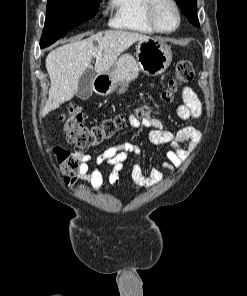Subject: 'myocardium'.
<instances>
[{
  "instance_id": "1",
  "label": "myocardium",
  "mask_w": 247,
  "mask_h": 296,
  "mask_svg": "<svg viewBox=\"0 0 247 296\" xmlns=\"http://www.w3.org/2000/svg\"><path fill=\"white\" fill-rule=\"evenodd\" d=\"M160 2L168 3L175 11L176 14V25L169 30L162 29L157 21L156 18V8ZM146 16L154 28L156 32L163 33V34H170L175 32L181 25V13L178 4L175 0H148L147 7H146Z\"/></svg>"
}]
</instances>
